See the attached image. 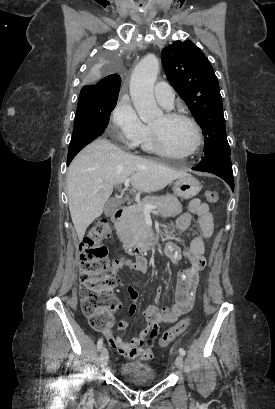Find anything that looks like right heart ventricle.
<instances>
[{
    "label": "right heart ventricle",
    "mask_w": 275,
    "mask_h": 409,
    "mask_svg": "<svg viewBox=\"0 0 275 409\" xmlns=\"http://www.w3.org/2000/svg\"><path fill=\"white\" fill-rule=\"evenodd\" d=\"M142 149L147 153H157L158 151L155 149L152 136H151V128L150 126H146V132L141 142Z\"/></svg>",
    "instance_id": "right-heart-ventricle-1"
}]
</instances>
